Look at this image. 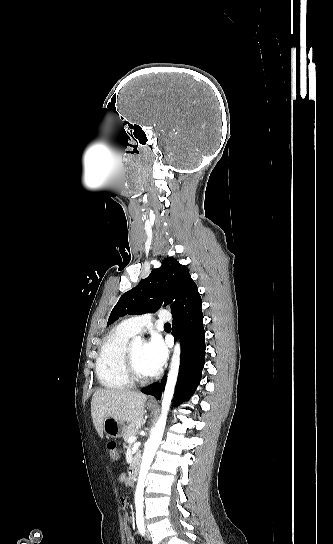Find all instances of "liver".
<instances>
[{
  "instance_id": "1",
  "label": "liver",
  "mask_w": 333,
  "mask_h": 544,
  "mask_svg": "<svg viewBox=\"0 0 333 544\" xmlns=\"http://www.w3.org/2000/svg\"><path fill=\"white\" fill-rule=\"evenodd\" d=\"M147 396L127 389H99L91 401V415L95 429L103 436V421L111 417L115 420L133 423L144 414Z\"/></svg>"
}]
</instances>
